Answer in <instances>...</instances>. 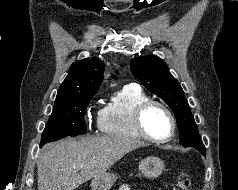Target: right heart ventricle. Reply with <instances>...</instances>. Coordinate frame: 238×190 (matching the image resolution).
<instances>
[{
  "mask_svg": "<svg viewBox=\"0 0 238 190\" xmlns=\"http://www.w3.org/2000/svg\"><path fill=\"white\" fill-rule=\"evenodd\" d=\"M139 87L130 85L118 90L98 113L99 131L107 136L128 140H142L134 125V112L138 105L148 100Z\"/></svg>",
  "mask_w": 238,
  "mask_h": 190,
  "instance_id": "e07e8e85",
  "label": "right heart ventricle"
}]
</instances>
